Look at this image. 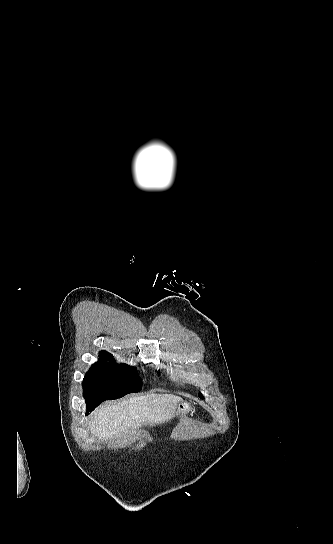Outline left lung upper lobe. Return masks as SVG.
Wrapping results in <instances>:
<instances>
[{"label":"left lung upper lobe","mask_w":333,"mask_h":544,"mask_svg":"<svg viewBox=\"0 0 333 544\" xmlns=\"http://www.w3.org/2000/svg\"><path fill=\"white\" fill-rule=\"evenodd\" d=\"M199 397H200V398H204L203 395H202L201 393H199Z\"/></svg>","instance_id":"left-lung-upper-lobe-1"}]
</instances>
